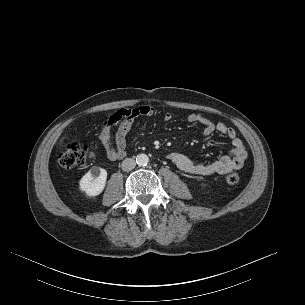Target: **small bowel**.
Listing matches in <instances>:
<instances>
[{"instance_id": "c3829d8e", "label": "small bowel", "mask_w": 305, "mask_h": 305, "mask_svg": "<svg viewBox=\"0 0 305 305\" xmlns=\"http://www.w3.org/2000/svg\"><path fill=\"white\" fill-rule=\"evenodd\" d=\"M155 110L149 105H140L131 109H120L114 112L104 123L99 139L104 148L105 155L110 160L121 159L126 155V136L138 117H153ZM172 113L166 112L163 121L172 120ZM190 123H200L203 126L204 136L217 132L231 140L232 148L228 155L210 162H194L180 152H171L167 158L182 173L193 176H209L226 174L240 169L247 158V151L243 141L237 136L234 128L224 123H215L200 113H190L187 117ZM117 125L113 134V125Z\"/></svg>"}]
</instances>
